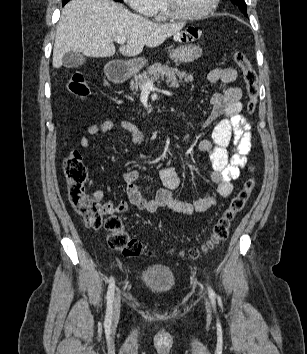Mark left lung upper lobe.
Wrapping results in <instances>:
<instances>
[{
    "instance_id": "left-lung-upper-lobe-1",
    "label": "left lung upper lobe",
    "mask_w": 307,
    "mask_h": 354,
    "mask_svg": "<svg viewBox=\"0 0 307 354\" xmlns=\"http://www.w3.org/2000/svg\"><path fill=\"white\" fill-rule=\"evenodd\" d=\"M234 4L238 5L242 13L247 16L246 3L244 0H231Z\"/></svg>"
}]
</instances>
